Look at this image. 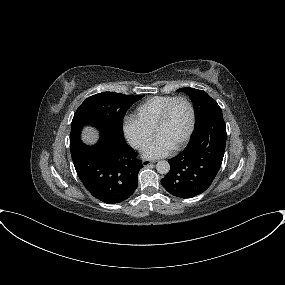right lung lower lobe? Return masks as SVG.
<instances>
[{
  "label": "right lung lower lobe",
  "mask_w": 285,
  "mask_h": 285,
  "mask_svg": "<svg viewBox=\"0 0 285 285\" xmlns=\"http://www.w3.org/2000/svg\"><path fill=\"white\" fill-rule=\"evenodd\" d=\"M83 126L71 128L70 151L76 172L85 188L97 199L115 204L129 198L138 185L143 167L124 138L101 130L97 144L81 141Z\"/></svg>",
  "instance_id": "right-lung-lower-lobe-1"
}]
</instances>
